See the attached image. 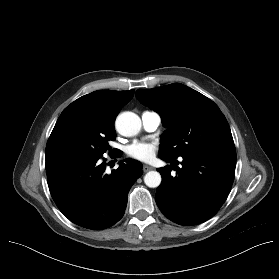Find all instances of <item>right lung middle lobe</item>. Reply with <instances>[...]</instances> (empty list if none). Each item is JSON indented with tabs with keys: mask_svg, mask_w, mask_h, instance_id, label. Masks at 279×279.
I'll list each match as a JSON object with an SVG mask.
<instances>
[{
	"mask_svg": "<svg viewBox=\"0 0 279 279\" xmlns=\"http://www.w3.org/2000/svg\"><path fill=\"white\" fill-rule=\"evenodd\" d=\"M116 139L114 125L102 122L82 105L70 104L61 113L48 139L46 162L64 158H97Z\"/></svg>",
	"mask_w": 279,
	"mask_h": 279,
	"instance_id": "dd1d6c3e",
	"label": "right lung middle lobe"
}]
</instances>
